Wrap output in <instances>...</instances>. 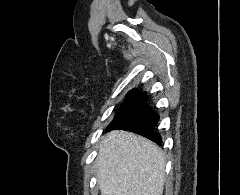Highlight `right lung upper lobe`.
<instances>
[{"label":"right lung upper lobe","mask_w":240,"mask_h":195,"mask_svg":"<svg viewBox=\"0 0 240 195\" xmlns=\"http://www.w3.org/2000/svg\"><path fill=\"white\" fill-rule=\"evenodd\" d=\"M128 95H145V93L138 94L135 90H132L128 93Z\"/></svg>","instance_id":"obj_1"}]
</instances>
